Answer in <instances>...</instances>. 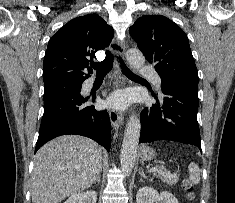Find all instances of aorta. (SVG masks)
<instances>
[{"instance_id": "obj_1", "label": "aorta", "mask_w": 235, "mask_h": 203, "mask_svg": "<svg viewBox=\"0 0 235 203\" xmlns=\"http://www.w3.org/2000/svg\"><path fill=\"white\" fill-rule=\"evenodd\" d=\"M126 58L130 67L133 69H139L145 63V57L143 54L135 49L128 50ZM140 131V119L137 115H132L127 123L120 155L121 170L127 175L131 173L134 167Z\"/></svg>"}]
</instances>
